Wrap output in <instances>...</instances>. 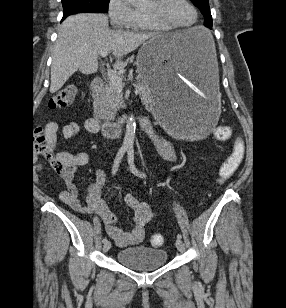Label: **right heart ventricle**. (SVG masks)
Here are the masks:
<instances>
[{
	"mask_svg": "<svg viewBox=\"0 0 286 308\" xmlns=\"http://www.w3.org/2000/svg\"><path fill=\"white\" fill-rule=\"evenodd\" d=\"M135 31L155 32V31H168L170 29L157 26L151 22L145 13L139 12L137 24L132 28Z\"/></svg>",
	"mask_w": 286,
	"mask_h": 308,
	"instance_id": "1",
	"label": "right heart ventricle"
}]
</instances>
